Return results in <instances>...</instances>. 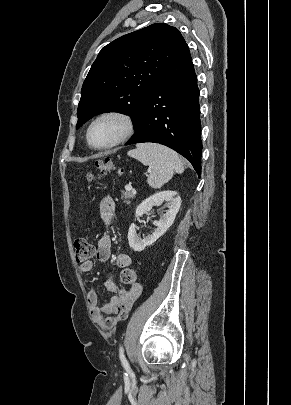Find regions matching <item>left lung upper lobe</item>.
Instances as JSON below:
<instances>
[{"instance_id": "left-lung-upper-lobe-1", "label": "left lung upper lobe", "mask_w": 291, "mask_h": 405, "mask_svg": "<svg viewBox=\"0 0 291 405\" xmlns=\"http://www.w3.org/2000/svg\"><path fill=\"white\" fill-rule=\"evenodd\" d=\"M185 44L177 28L156 23L106 45L83 83L77 128L99 113L122 111L136 129L149 90Z\"/></svg>"}]
</instances>
